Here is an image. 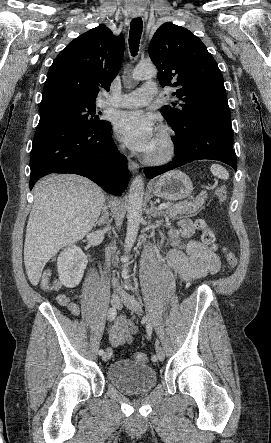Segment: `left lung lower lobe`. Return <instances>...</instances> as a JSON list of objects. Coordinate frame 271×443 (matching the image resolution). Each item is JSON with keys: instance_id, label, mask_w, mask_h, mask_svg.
Wrapping results in <instances>:
<instances>
[{"instance_id": "left-lung-lower-lobe-1", "label": "left lung lower lobe", "mask_w": 271, "mask_h": 443, "mask_svg": "<svg viewBox=\"0 0 271 443\" xmlns=\"http://www.w3.org/2000/svg\"><path fill=\"white\" fill-rule=\"evenodd\" d=\"M173 130L176 133V138L172 139L176 154L174 159L163 166L146 167L144 172L147 178H154L201 159L219 160L237 169L229 117L212 112H200L191 122Z\"/></svg>"}]
</instances>
